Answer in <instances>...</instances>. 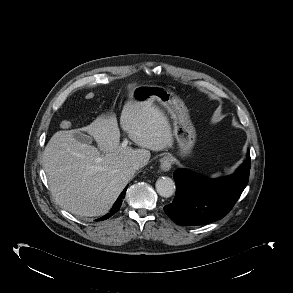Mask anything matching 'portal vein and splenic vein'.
Masks as SVG:
<instances>
[{"label":"portal vein and splenic vein","mask_w":293,"mask_h":293,"mask_svg":"<svg viewBox=\"0 0 293 293\" xmlns=\"http://www.w3.org/2000/svg\"><path fill=\"white\" fill-rule=\"evenodd\" d=\"M128 142H129L128 139L125 138L124 141L121 144V147L125 148L128 145ZM98 160L100 161V158Z\"/></svg>","instance_id":"18ae733b"}]
</instances>
